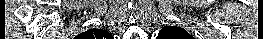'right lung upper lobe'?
<instances>
[{"label":"right lung upper lobe","instance_id":"right-lung-upper-lobe-1","mask_svg":"<svg viewBox=\"0 0 263 39\" xmlns=\"http://www.w3.org/2000/svg\"><path fill=\"white\" fill-rule=\"evenodd\" d=\"M82 39H109L110 33L103 29H91L79 35Z\"/></svg>","mask_w":263,"mask_h":39}]
</instances>
